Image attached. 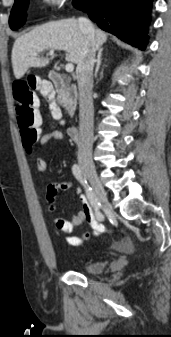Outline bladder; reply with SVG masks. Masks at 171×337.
Segmentation results:
<instances>
[{
	"label": "bladder",
	"instance_id": "1",
	"mask_svg": "<svg viewBox=\"0 0 171 337\" xmlns=\"http://www.w3.org/2000/svg\"><path fill=\"white\" fill-rule=\"evenodd\" d=\"M81 269L88 274H99L105 268V263L100 260L90 261L82 264Z\"/></svg>",
	"mask_w": 171,
	"mask_h": 337
}]
</instances>
